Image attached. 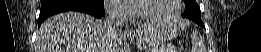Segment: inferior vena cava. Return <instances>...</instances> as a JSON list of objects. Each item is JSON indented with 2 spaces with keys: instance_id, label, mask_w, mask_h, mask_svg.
<instances>
[{
  "instance_id": "1",
  "label": "inferior vena cava",
  "mask_w": 261,
  "mask_h": 52,
  "mask_svg": "<svg viewBox=\"0 0 261 52\" xmlns=\"http://www.w3.org/2000/svg\"><path fill=\"white\" fill-rule=\"evenodd\" d=\"M105 10L106 17L104 25L109 33L116 32L124 23L122 6L119 2L113 1L105 5Z\"/></svg>"
}]
</instances>
